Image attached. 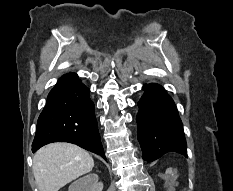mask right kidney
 <instances>
[{"label":"right kidney","instance_id":"ca27d5eb","mask_svg":"<svg viewBox=\"0 0 233 191\" xmlns=\"http://www.w3.org/2000/svg\"><path fill=\"white\" fill-rule=\"evenodd\" d=\"M103 183L98 182V175L88 174L69 186V191H102Z\"/></svg>","mask_w":233,"mask_h":191}]
</instances>
